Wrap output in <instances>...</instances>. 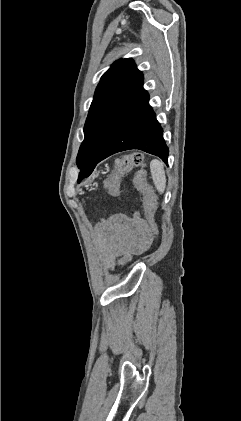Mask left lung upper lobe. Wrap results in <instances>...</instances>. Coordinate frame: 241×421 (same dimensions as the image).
I'll list each match as a JSON object with an SVG mask.
<instances>
[{"label": "left lung upper lobe", "instance_id": "left-lung-upper-lobe-1", "mask_svg": "<svg viewBox=\"0 0 241 421\" xmlns=\"http://www.w3.org/2000/svg\"><path fill=\"white\" fill-rule=\"evenodd\" d=\"M142 79L143 74L131 59L116 61L104 73L84 126L85 138L77 155L80 170L99 158Z\"/></svg>", "mask_w": 241, "mask_h": 421}]
</instances>
